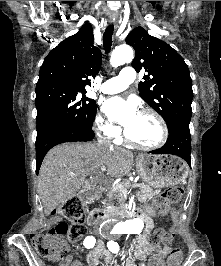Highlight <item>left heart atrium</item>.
<instances>
[{
	"label": "left heart atrium",
	"instance_id": "obj_1",
	"mask_svg": "<svg viewBox=\"0 0 221 266\" xmlns=\"http://www.w3.org/2000/svg\"><path fill=\"white\" fill-rule=\"evenodd\" d=\"M104 111L112 120H118L125 128L130 126L138 117L139 111L134 100H124L120 97L108 99Z\"/></svg>",
	"mask_w": 221,
	"mask_h": 266
}]
</instances>
